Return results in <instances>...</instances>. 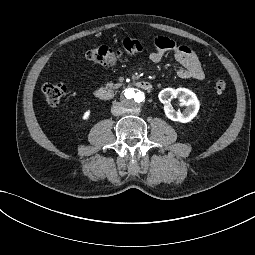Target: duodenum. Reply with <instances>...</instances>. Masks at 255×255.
<instances>
[{"label": "duodenum", "mask_w": 255, "mask_h": 255, "mask_svg": "<svg viewBox=\"0 0 255 255\" xmlns=\"http://www.w3.org/2000/svg\"><path fill=\"white\" fill-rule=\"evenodd\" d=\"M135 86L146 92H150L152 90L151 83L145 80L136 81ZM94 96L103 101L111 100L114 97V90L107 87H101L94 91Z\"/></svg>", "instance_id": "1"}]
</instances>
